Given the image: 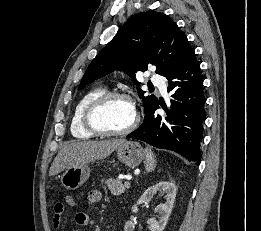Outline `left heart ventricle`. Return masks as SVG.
<instances>
[{
  "instance_id": "obj_1",
  "label": "left heart ventricle",
  "mask_w": 261,
  "mask_h": 231,
  "mask_svg": "<svg viewBox=\"0 0 261 231\" xmlns=\"http://www.w3.org/2000/svg\"><path fill=\"white\" fill-rule=\"evenodd\" d=\"M133 118V105L123 98H115L109 101L95 115L97 125L102 129L110 131L126 129L131 124Z\"/></svg>"
}]
</instances>
